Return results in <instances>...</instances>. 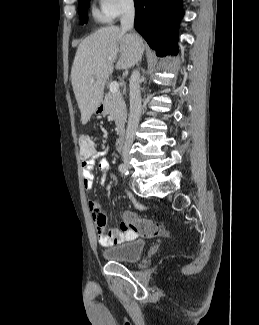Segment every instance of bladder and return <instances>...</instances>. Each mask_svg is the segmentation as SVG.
Masks as SVG:
<instances>
[{
	"label": "bladder",
	"instance_id": "obj_1",
	"mask_svg": "<svg viewBox=\"0 0 259 325\" xmlns=\"http://www.w3.org/2000/svg\"><path fill=\"white\" fill-rule=\"evenodd\" d=\"M145 248L146 242L142 239H136L107 247L102 251V256L109 262L133 263L141 258Z\"/></svg>",
	"mask_w": 259,
	"mask_h": 325
}]
</instances>
